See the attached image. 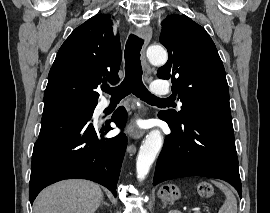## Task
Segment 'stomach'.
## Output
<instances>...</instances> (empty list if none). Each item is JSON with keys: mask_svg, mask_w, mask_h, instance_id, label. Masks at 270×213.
<instances>
[{"mask_svg": "<svg viewBox=\"0 0 270 213\" xmlns=\"http://www.w3.org/2000/svg\"><path fill=\"white\" fill-rule=\"evenodd\" d=\"M158 196L164 202L173 203L180 198L181 193L176 185L168 184L159 189Z\"/></svg>", "mask_w": 270, "mask_h": 213, "instance_id": "0dacf381", "label": "stomach"}]
</instances>
